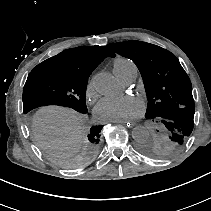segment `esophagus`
Here are the masks:
<instances>
[{"label":"esophagus","instance_id":"1","mask_svg":"<svg viewBox=\"0 0 211 211\" xmlns=\"http://www.w3.org/2000/svg\"><path fill=\"white\" fill-rule=\"evenodd\" d=\"M113 123H121L122 126H126L127 128L133 127V122L129 121L128 119H122V120H112Z\"/></svg>","mask_w":211,"mask_h":211}]
</instances>
